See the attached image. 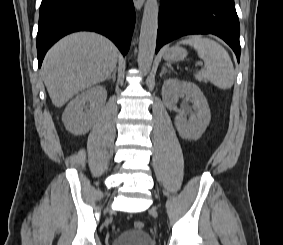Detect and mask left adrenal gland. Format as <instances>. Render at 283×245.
Listing matches in <instances>:
<instances>
[{
  "mask_svg": "<svg viewBox=\"0 0 283 245\" xmlns=\"http://www.w3.org/2000/svg\"><path fill=\"white\" fill-rule=\"evenodd\" d=\"M167 72H169V70H167L166 67H163V68H162V71H161V73H160V77H162V75L165 74V73H167Z\"/></svg>",
  "mask_w": 283,
  "mask_h": 245,
  "instance_id": "obj_1",
  "label": "left adrenal gland"
}]
</instances>
